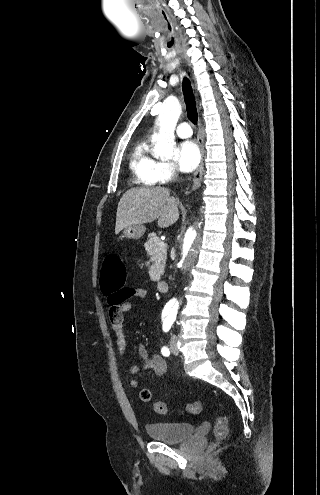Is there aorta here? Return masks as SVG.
<instances>
[{
	"label": "aorta",
	"mask_w": 320,
	"mask_h": 495,
	"mask_svg": "<svg viewBox=\"0 0 320 495\" xmlns=\"http://www.w3.org/2000/svg\"><path fill=\"white\" fill-rule=\"evenodd\" d=\"M157 111L156 124L159 132L154 145V153L162 158L170 159L175 150V128L181 115V105L177 98L168 97L162 105L156 106ZM203 234V225L195 221L184 233L181 251L177 256V263L180 267L188 266L199 248L200 239ZM166 309L171 314H176L178 302L176 299L170 300Z\"/></svg>",
	"instance_id": "aorta-1"
}]
</instances>
